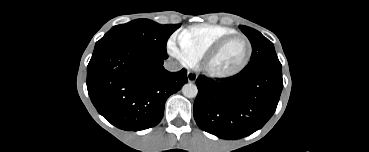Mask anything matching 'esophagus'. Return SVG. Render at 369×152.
Instances as JSON below:
<instances>
[{"label":"esophagus","instance_id":"obj_1","mask_svg":"<svg viewBox=\"0 0 369 152\" xmlns=\"http://www.w3.org/2000/svg\"><path fill=\"white\" fill-rule=\"evenodd\" d=\"M187 79L189 82H195L197 79V74H195L194 72L188 71L187 72Z\"/></svg>","mask_w":369,"mask_h":152}]
</instances>
